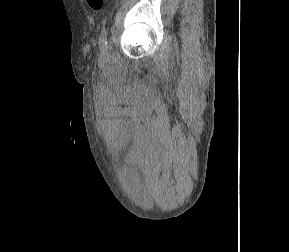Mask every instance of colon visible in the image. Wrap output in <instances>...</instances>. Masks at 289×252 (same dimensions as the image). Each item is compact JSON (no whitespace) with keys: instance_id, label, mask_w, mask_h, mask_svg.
Here are the masks:
<instances>
[{"instance_id":"obj_1","label":"colon","mask_w":289,"mask_h":252,"mask_svg":"<svg viewBox=\"0 0 289 252\" xmlns=\"http://www.w3.org/2000/svg\"><path fill=\"white\" fill-rule=\"evenodd\" d=\"M88 6L94 10L99 11L104 5V0H86Z\"/></svg>"}]
</instances>
